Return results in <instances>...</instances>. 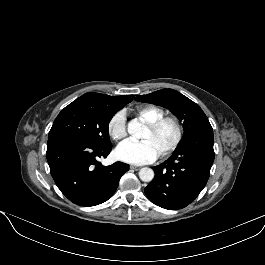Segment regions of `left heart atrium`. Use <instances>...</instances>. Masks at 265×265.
<instances>
[{
    "label": "left heart atrium",
    "mask_w": 265,
    "mask_h": 265,
    "mask_svg": "<svg viewBox=\"0 0 265 265\" xmlns=\"http://www.w3.org/2000/svg\"><path fill=\"white\" fill-rule=\"evenodd\" d=\"M158 153L149 141L134 142L127 140L115 150L118 160L130 164L150 163L157 159Z\"/></svg>",
    "instance_id": "obj_1"
}]
</instances>
